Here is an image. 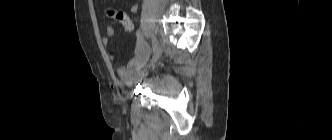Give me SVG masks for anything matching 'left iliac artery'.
<instances>
[{
    "label": "left iliac artery",
    "mask_w": 332,
    "mask_h": 140,
    "mask_svg": "<svg viewBox=\"0 0 332 140\" xmlns=\"http://www.w3.org/2000/svg\"><path fill=\"white\" fill-rule=\"evenodd\" d=\"M151 43H152V49H153V53H154L158 47V40H157L155 34H153L151 37Z\"/></svg>",
    "instance_id": "1"
}]
</instances>
